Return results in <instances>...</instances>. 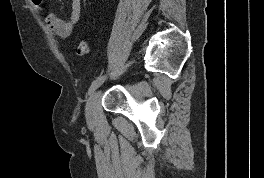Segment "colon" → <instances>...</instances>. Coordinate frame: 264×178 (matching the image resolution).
Masks as SVG:
<instances>
[{
	"label": "colon",
	"instance_id": "colon-1",
	"mask_svg": "<svg viewBox=\"0 0 264 178\" xmlns=\"http://www.w3.org/2000/svg\"><path fill=\"white\" fill-rule=\"evenodd\" d=\"M32 3L37 8H42L43 0H32ZM89 51L88 43L85 40H81L77 46V54L78 56H85Z\"/></svg>",
	"mask_w": 264,
	"mask_h": 178
}]
</instances>
